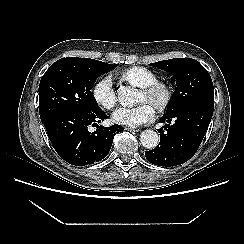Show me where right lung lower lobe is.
I'll return each instance as SVG.
<instances>
[{"label": "right lung lower lobe", "mask_w": 244, "mask_h": 244, "mask_svg": "<svg viewBox=\"0 0 244 244\" xmlns=\"http://www.w3.org/2000/svg\"><path fill=\"white\" fill-rule=\"evenodd\" d=\"M106 118L107 115L100 110L95 113H54L41 121L59 156L69 164L85 166L105 158L114 136L124 130L118 124L99 126L98 123ZM90 126L96 127V131L90 132Z\"/></svg>", "instance_id": "obj_1"}]
</instances>
